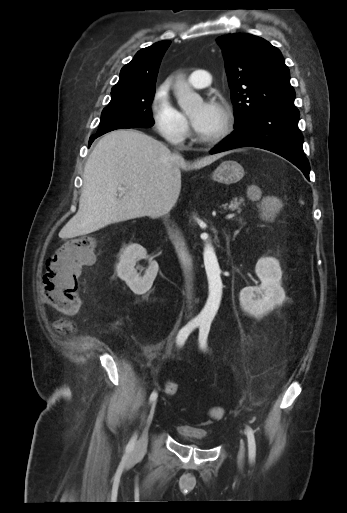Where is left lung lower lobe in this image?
<instances>
[{"mask_svg":"<svg viewBox=\"0 0 347 513\" xmlns=\"http://www.w3.org/2000/svg\"><path fill=\"white\" fill-rule=\"evenodd\" d=\"M299 111L269 109L235 124V131L210 153L239 147H257L274 152L297 166L309 180L310 166L303 151V135L298 128Z\"/></svg>","mask_w":347,"mask_h":513,"instance_id":"0a47b994","label":"left lung lower lobe"}]
</instances>
